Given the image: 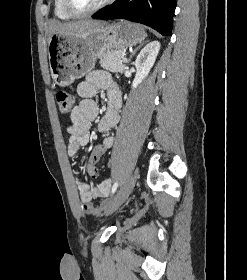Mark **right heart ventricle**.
Returning a JSON list of instances; mask_svg holds the SVG:
<instances>
[{"label":"right heart ventricle","instance_id":"obj_1","mask_svg":"<svg viewBox=\"0 0 247 280\" xmlns=\"http://www.w3.org/2000/svg\"><path fill=\"white\" fill-rule=\"evenodd\" d=\"M54 13L61 20H70L74 17L65 10L63 0H54Z\"/></svg>","mask_w":247,"mask_h":280}]
</instances>
